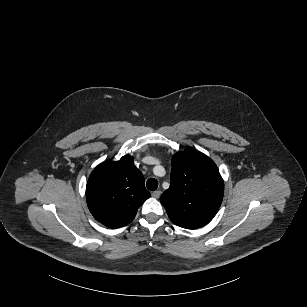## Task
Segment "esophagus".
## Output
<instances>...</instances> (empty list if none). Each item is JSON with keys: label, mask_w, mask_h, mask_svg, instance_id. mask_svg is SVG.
Instances as JSON below:
<instances>
[{"label": "esophagus", "mask_w": 307, "mask_h": 307, "mask_svg": "<svg viewBox=\"0 0 307 307\" xmlns=\"http://www.w3.org/2000/svg\"><path fill=\"white\" fill-rule=\"evenodd\" d=\"M160 195H161V191H154V192H152V197L153 198H159L160 197Z\"/></svg>", "instance_id": "1"}]
</instances>
